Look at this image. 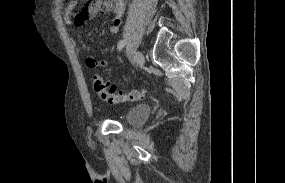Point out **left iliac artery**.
Returning a JSON list of instances; mask_svg holds the SVG:
<instances>
[{
	"label": "left iliac artery",
	"instance_id": "obj_1",
	"mask_svg": "<svg viewBox=\"0 0 285 183\" xmlns=\"http://www.w3.org/2000/svg\"><path fill=\"white\" fill-rule=\"evenodd\" d=\"M126 44V41L125 40H121L118 45H117V49L118 50H121Z\"/></svg>",
	"mask_w": 285,
	"mask_h": 183
}]
</instances>
